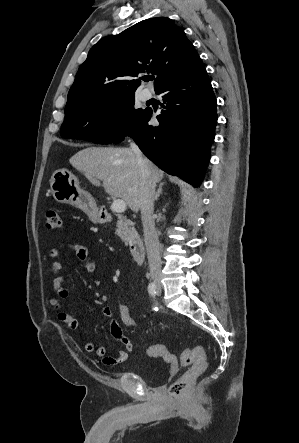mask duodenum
I'll return each instance as SVG.
<instances>
[{
	"label": "duodenum",
	"mask_w": 299,
	"mask_h": 443,
	"mask_svg": "<svg viewBox=\"0 0 299 443\" xmlns=\"http://www.w3.org/2000/svg\"><path fill=\"white\" fill-rule=\"evenodd\" d=\"M100 218L103 221H109L111 215L107 210L100 212ZM129 253L133 260L142 262L145 256L144 244L141 239H133L129 242Z\"/></svg>",
	"instance_id": "obj_1"
}]
</instances>
